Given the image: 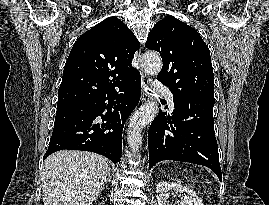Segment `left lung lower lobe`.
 Returning a JSON list of instances; mask_svg holds the SVG:
<instances>
[{
  "label": "left lung lower lobe",
  "instance_id": "0a47b994",
  "mask_svg": "<svg viewBox=\"0 0 269 205\" xmlns=\"http://www.w3.org/2000/svg\"><path fill=\"white\" fill-rule=\"evenodd\" d=\"M173 101V115L161 111L149 128V169L162 160L184 161L210 168L221 180L214 99L173 96Z\"/></svg>",
  "mask_w": 269,
  "mask_h": 205
}]
</instances>
